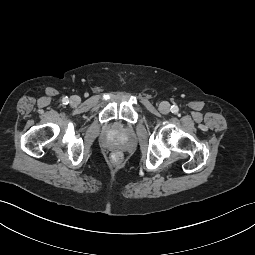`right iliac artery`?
Segmentation results:
<instances>
[{"instance_id": "1", "label": "right iliac artery", "mask_w": 255, "mask_h": 255, "mask_svg": "<svg viewBox=\"0 0 255 255\" xmlns=\"http://www.w3.org/2000/svg\"><path fill=\"white\" fill-rule=\"evenodd\" d=\"M62 102H63V104H68V102H69L68 97H64V98L62 99Z\"/></svg>"}]
</instances>
